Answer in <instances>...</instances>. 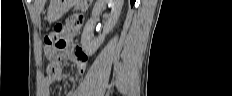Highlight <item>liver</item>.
I'll list each match as a JSON object with an SVG mask.
<instances>
[{
    "mask_svg": "<svg viewBox=\"0 0 232 96\" xmlns=\"http://www.w3.org/2000/svg\"><path fill=\"white\" fill-rule=\"evenodd\" d=\"M44 4H45V0H41L40 1V7H39L40 11L43 9Z\"/></svg>",
    "mask_w": 232,
    "mask_h": 96,
    "instance_id": "6515ba94",
    "label": "liver"
}]
</instances>
